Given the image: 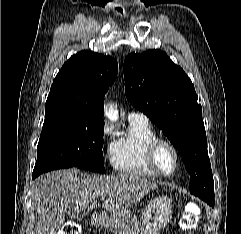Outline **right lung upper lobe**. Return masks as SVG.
I'll return each mask as SVG.
<instances>
[{
	"label": "right lung upper lobe",
	"instance_id": "right-lung-upper-lobe-1",
	"mask_svg": "<svg viewBox=\"0 0 241 234\" xmlns=\"http://www.w3.org/2000/svg\"><path fill=\"white\" fill-rule=\"evenodd\" d=\"M118 73L117 61L91 51L67 60L55 77L45 110L69 109L81 119L103 122V102Z\"/></svg>",
	"mask_w": 241,
	"mask_h": 234
}]
</instances>
